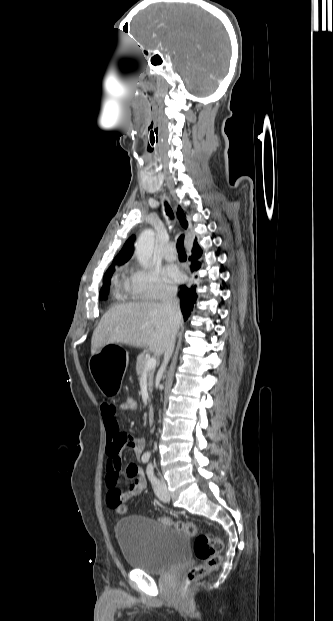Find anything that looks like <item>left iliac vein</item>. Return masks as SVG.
I'll return each mask as SVG.
<instances>
[{"label": "left iliac vein", "mask_w": 333, "mask_h": 621, "mask_svg": "<svg viewBox=\"0 0 333 621\" xmlns=\"http://www.w3.org/2000/svg\"><path fill=\"white\" fill-rule=\"evenodd\" d=\"M156 495L163 502H168L170 500L169 492L167 489V485L164 480L159 481V485L155 488Z\"/></svg>", "instance_id": "4c4485c4"}]
</instances>
